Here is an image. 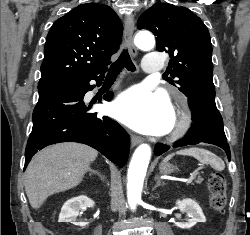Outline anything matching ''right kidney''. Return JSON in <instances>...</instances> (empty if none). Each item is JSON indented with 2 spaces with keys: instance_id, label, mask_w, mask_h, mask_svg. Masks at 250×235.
Wrapping results in <instances>:
<instances>
[{
  "instance_id": "1",
  "label": "right kidney",
  "mask_w": 250,
  "mask_h": 235,
  "mask_svg": "<svg viewBox=\"0 0 250 235\" xmlns=\"http://www.w3.org/2000/svg\"><path fill=\"white\" fill-rule=\"evenodd\" d=\"M94 204L93 200L84 195L69 199L62 206L59 222H70L74 225L85 226L84 223L75 222V219L79 215L80 209L93 207Z\"/></svg>"
}]
</instances>
